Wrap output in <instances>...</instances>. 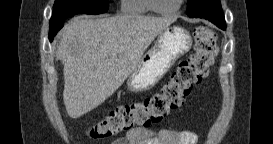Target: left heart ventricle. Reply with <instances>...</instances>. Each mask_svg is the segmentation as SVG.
Here are the masks:
<instances>
[{
    "label": "left heart ventricle",
    "instance_id": "left-heart-ventricle-1",
    "mask_svg": "<svg viewBox=\"0 0 273 144\" xmlns=\"http://www.w3.org/2000/svg\"><path fill=\"white\" fill-rule=\"evenodd\" d=\"M178 0H158L157 5L162 10H169L176 7Z\"/></svg>",
    "mask_w": 273,
    "mask_h": 144
}]
</instances>
